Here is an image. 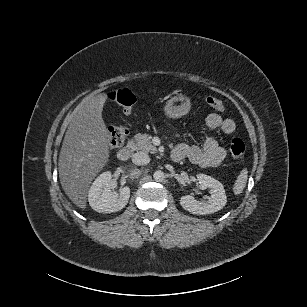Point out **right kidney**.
<instances>
[{
  "mask_svg": "<svg viewBox=\"0 0 307 307\" xmlns=\"http://www.w3.org/2000/svg\"><path fill=\"white\" fill-rule=\"evenodd\" d=\"M119 194L112 191L111 172L100 174L88 193L91 208L99 213H112L123 209L130 198V188H120Z\"/></svg>",
  "mask_w": 307,
  "mask_h": 307,
  "instance_id": "1",
  "label": "right kidney"
}]
</instances>
